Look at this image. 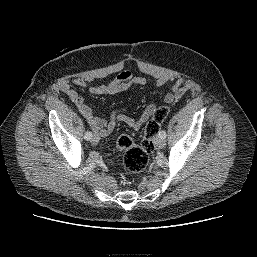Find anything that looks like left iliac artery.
Returning a JSON list of instances; mask_svg holds the SVG:
<instances>
[{
	"mask_svg": "<svg viewBox=\"0 0 257 257\" xmlns=\"http://www.w3.org/2000/svg\"><path fill=\"white\" fill-rule=\"evenodd\" d=\"M166 136H167V135H166V132H165V131H160V132H159V137L165 139Z\"/></svg>",
	"mask_w": 257,
	"mask_h": 257,
	"instance_id": "1",
	"label": "left iliac artery"
}]
</instances>
